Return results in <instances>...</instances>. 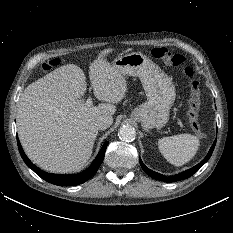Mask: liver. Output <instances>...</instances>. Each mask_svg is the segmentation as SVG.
Instances as JSON below:
<instances>
[{"mask_svg":"<svg viewBox=\"0 0 233 233\" xmlns=\"http://www.w3.org/2000/svg\"><path fill=\"white\" fill-rule=\"evenodd\" d=\"M112 51H101L89 67L94 95L104 102L98 106L87 107L80 100L87 82L74 64L63 65L25 88L18 103V134L25 153L41 169L72 173L88 162L98 134L95 121L103 115L112 117L127 91L124 75L105 59Z\"/></svg>","mask_w":233,"mask_h":233,"instance_id":"6515ba94","label":"liver"}]
</instances>
